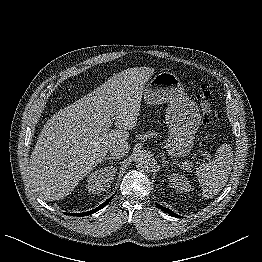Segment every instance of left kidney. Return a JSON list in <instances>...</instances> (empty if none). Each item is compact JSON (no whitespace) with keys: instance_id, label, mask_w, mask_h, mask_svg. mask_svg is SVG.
Returning <instances> with one entry per match:
<instances>
[{"instance_id":"left-kidney-1","label":"left kidney","mask_w":262,"mask_h":262,"mask_svg":"<svg viewBox=\"0 0 262 262\" xmlns=\"http://www.w3.org/2000/svg\"><path fill=\"white\" fill-rule=\"evenodd\" d=\"M168 179L170 186L177 192H188L191 189V185L184 175L173 173Z\"/></svg>"}]
</instances>
